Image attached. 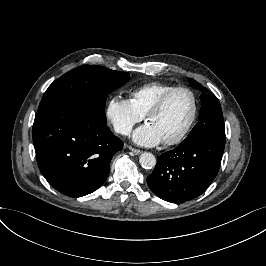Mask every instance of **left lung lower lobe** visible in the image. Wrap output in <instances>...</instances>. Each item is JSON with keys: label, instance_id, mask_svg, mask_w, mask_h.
<instances>
[{"label": "left lung lower lobe", "instance_id": "0a47b994", "mask_svg": "<svg viewBox=\"0 0 266 266\" xmlns=\"http://www.w3.org/2000/svg\"><path fill=\"white\" fill-rule=\"evenodd\" d=\"M225 138L203 136L161 154L147 178L151 191L171 203L201 195L215 179L223 156Z\"/></svg>", "mask_w": 266, "mask_h": 266}]
</instances>
